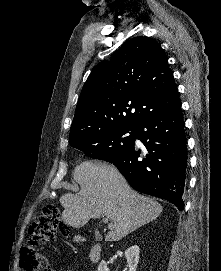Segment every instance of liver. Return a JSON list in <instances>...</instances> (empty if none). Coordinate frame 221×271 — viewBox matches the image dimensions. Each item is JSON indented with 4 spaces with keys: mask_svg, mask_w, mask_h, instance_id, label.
Instances as JSON below:
<instances>
[{
    "mask_svg": "<svg viewBox=\"0 0 221 271\" xmlns=\"http://www.w3.org/2000/svg\"><path fill=\"white\" fill-rule=\"evenodd\" d=\"M74 179L80 185L78 195L66 193L60 199L64 223L83 227L91 217L108 215L113 225L106 241H119L163 209L158 201L134 191L115 165L82 161L74 169Z\"/></svg>",
    "mask_w": 221,
    "mask_h": 271,
    "instance_id": "6515ba94",
    "label": "liver"
}]
</instances>
